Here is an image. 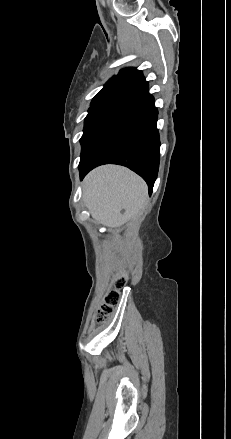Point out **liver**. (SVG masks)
Here are the masks:
<instances>
[{"label":"liver","mask_w":231,"mask_h":439,"mask_svg":"<svg viewBox=\"0 0 231 439\" xmlns=\"http://www.w3.org/2000/svg\"><path fill=\"white\" fill-rule=\"evenodd\" d=\"M83 198L96 223L119 228L144 210L148 188L145 181L129 169L105 165L85 177Z\"/></svg>","instance_id":"liver-1"}]
</instances>
